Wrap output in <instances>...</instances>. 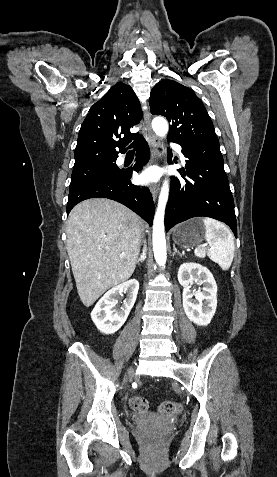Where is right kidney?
I'll return each mask as SVG.
<instances>
[{"label": "right kidney", "mask_w": 277, "mask_h": 477, "mask_svg": "<svg viewBox=\"0 0 277 477\" xmlns=\"http://www.w3.org/2000/svg\"><path fill=\"white\" fill-rule=\"evenodd\" d=\"M138 290L139 282L130 279L105 293L91 312V319L100 332L109 335L122 327L136 301ZM123 293L127 297L123 306L117 308V300Z\"/></svg>", "instance_id": "right-kidney-1"}]
</instances>
